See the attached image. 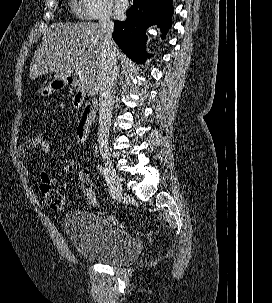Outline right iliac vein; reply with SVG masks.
Here are the masks:
<instances>
[{
  "mask_svg": "<svg viewBox=\"0 0 272 303\" xmlns=\"http://www.w3.org/2000/svg\"><path fill=\"white\" fill-rule=\"evenodd\" d=\"M104 165L105 169L109 175L110 182L114 188L116 196L119 200L123 199L124 191L121 183V179L119 175L116 173L115 169L113 168V164L109 158H104Z\"/></svg>",
  "mask_w": 272,
  "mask_h": 303,
  "instance_id": "1",
  "label": "right iliac vein"
}]
</instances>
